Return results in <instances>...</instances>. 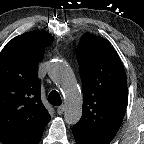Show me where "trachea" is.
Here are the masks:
<instances>
[{"instance_id": "1", "label": "trachea", "mask_w": 144, "mask_h": 144, "mask_svg": "<svg viewBox=\"0 0 144 144\" xmlns=\"http://www.w3.org/2000/svg\"><path fill=\"white\" fill-rule=\"evenodd\" d=\"M48 102L53 106H59L61 104V98L56 90H53L48 95Z\"/></svg>"}]
</instances>
